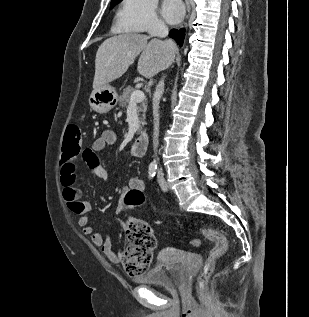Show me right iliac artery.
I'll list each match as a JSON object with an SVG mask.
<instances>
[{
	"instance_id": "82829eb1",
	"label": "right iliac artery",
	"mask_w": 309,
	"mask_h": 317,
	"mask_svg": "<svg viewBox=\"0 0 309 317\" xmlns=\"http://www.w3.org/2000/svg\"><path fill=\"white\" fill-rule=\"evenodd\" d=\"M157 166L156 165H150L149 166V178L152 179L156 174Z\"/></svg>"
}]
</instances>
